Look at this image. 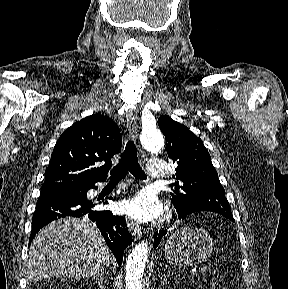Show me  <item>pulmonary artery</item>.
<instances>
[{
    "label": "pulmonary artery",
    "mask_w": 288,
    "mask_h": 289,
    "mask_svg": "<svg viewBox=\"0 0 288 289\" xmlns=\"http://www.w3.org/2000/svg\"><path fill=\"white\" fill-rule=\"evenodd\" d=\"M166 163L160 159H150L146 164V174L151 178H163L166 175Z\"/></svg>",
    "instance_id": "obj_1"
}]
</instances>
